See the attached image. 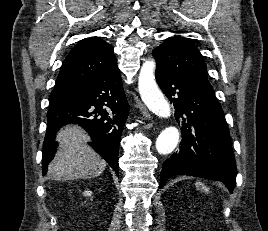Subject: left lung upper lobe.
<instances>
[{
    "label": "left lung upper lobe",
    "instance_id": "obj_1",
    "mask_svg": "<svg viewBox=\"0 0 268 231\" xmlns=\"http://www.w3.org/2000/svg\"><path fill=\"white\" fill-rule=\"evenodd\" d=\"M158 66L184 76L215 93L208 81L206 64L199 49L187 38H167L153 50Z\"/></svg>",
    "mask_w": 268,
    "mask_h": 231
}]
</instances>
